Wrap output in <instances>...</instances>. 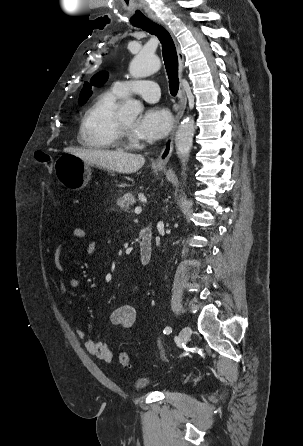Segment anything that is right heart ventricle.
<instances>
[{"instance_id": "1", "label": "right heart ventricle", "mask_w": 303, "mask_h": 446, "mask_svg": "<svg viewBox=\"0 0 303 446\" xmlns=\"http://www.w3.org/2000/svg\"><path fill=\"white\" fill-rule=\"evenodd\" d=\"M122 97L111 87L91 102L79 125L78 142L81 146L95 150L118 146L117 108Z\"/></svg>"}]
</instances>
